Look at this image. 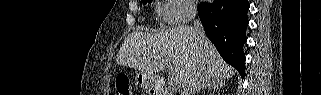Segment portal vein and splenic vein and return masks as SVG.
I'll list each match as a JSON object with an SVG mask.
<instances>
[{
    "instance_id": "obj_1",
    "label": "portal vein and splenic vein",
    "mask_w": 321,
    "mask_h": 95,
    "mask_svg": "<svg viewBox=\"0 0 321 95\" xmlns=\"http://www.w3.org/2000/svg\"><path fill=\"white\" fill-rule=\"evenodd\" d=\"M162 64L163 66H166V68H168L169 70H172V64L166 60H163L162 61ZM170 83L171 85H176L178 82H177V79L175 77H171L170 78Z\"/></svg>"
}]
</instances>
